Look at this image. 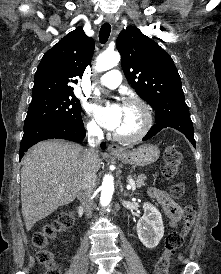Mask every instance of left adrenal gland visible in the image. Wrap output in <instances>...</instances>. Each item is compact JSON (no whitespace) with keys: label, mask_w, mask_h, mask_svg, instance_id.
<instances>
[{"label":"left adrenal gland","mask_w":221,"mask_h":274,"mask_svg":"<svg viewBox=\"0 0 221 274\" xmlns=\"http://www.w3.org/2000/svg\"><path fill=\"white\" fill-rule=\"evenodd\" d=\"M120 191L123 193V187H122V185H120ZM128 195V193H124V196H127Z\"/></svg>","instance_id":"a2214340"}]
</instances>
